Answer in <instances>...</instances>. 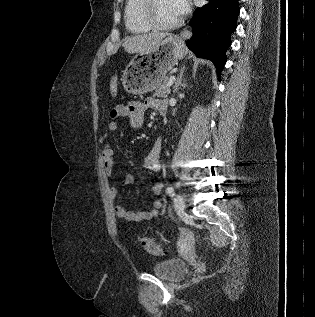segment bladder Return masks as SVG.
Masks as SVG:
<instances>
[{
    "instance_id": "bladder-1",
    "label": "bladder",
    "mask_w": 315,
    "mask_h": 317,
    "mask_svg": "<svg viewBox=\"0 0 315 317\" xmlns=\"http://www.w3.org/2000/svg\"><path fill=\"white\" fill-rule=\"evenodd\" d=\"M187 271L186 263L179 258H172L157 262L152 267V272L159 278L174 281L182 278Z\"/></svg>"
}]
</instances>
